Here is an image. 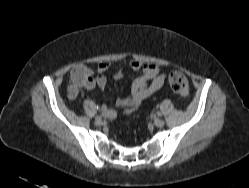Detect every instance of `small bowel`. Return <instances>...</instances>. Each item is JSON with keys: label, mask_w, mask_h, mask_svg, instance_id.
Returning a JSON list of instances; mask_svg holds the SVG:
<instances>
[{"label": "small bowel", "mask_w": 249, "mask_h": 188, "mask_svg": "<svg viewBox=\"0 0 249 188\" xmlns=\"http://www.w3.org/2000/svg\"><path fill=\"white\" fill-rule=\"evenodd\" d=\"M109 67L110 65L107 62L100 63L97 67L98 75L96 77H93L91 71L85 66L75 67L71 71L72 85L70 87V95L75 97L80 88H84L87 91H92L95 88L104 89L107 85L105 73ZM125 67L133 72L130 76V95L119 99L116 104L125 114H131L141 106L147 97L162 88L167 78V73L157 64L132 61L120 66L114 74V79L120 80L126 76ZM77 73H80V78H77ZM102 111L109 118L116 116V112L113 109H108L105 106L102 107Z\"/></svg>", "instance_id": "c3829d8e"}]
</instances>
